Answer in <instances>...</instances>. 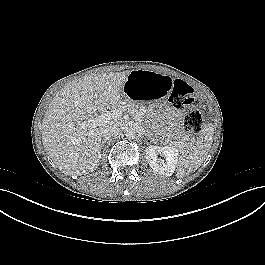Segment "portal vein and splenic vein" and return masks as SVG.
I'll list each match as a JSON object with an SVG mask.
<instances>
[{"mask_svg": "<svg viewBox=\"0 0 265 265\" xmlns=\"http://www.w3.org/2000/svg\"><path fill=\"white\" fill-rule=\"evenodd\" d=\"M123 112L124 111L121 108H115L111 111H107L102 115L96 117L92 116L87 121L82 122L80 125H82L83 127L96 128L105 123H109L112 120L119 119L122 116Z\"/></svg>", "mask_w": 265, "mask_h": 265, "instance_id": "18ae733b", "label": "portal vein and splenic vein"}]
</instances>
